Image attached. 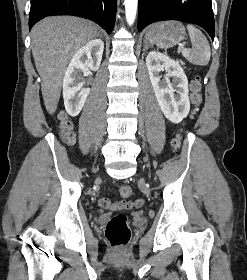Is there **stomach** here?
I'll list each match as a JSON object with an SVG mask.
<instances>
[{"label": "stomach", "instance_id": "1", "mask_svg": "<svg viewBox=\"0 0 247 280\" xmlns=\"http://www.w3.org/2000/svg\"><path fill=\"white\" fill-rule=\"evenodd\" d=\"M185 35V27L181 22L165 21L152 25L145 39L159 48H170L181 42Z\"/></svg>", "mask_w": 247, "mask_h": 280}]
</instances>
